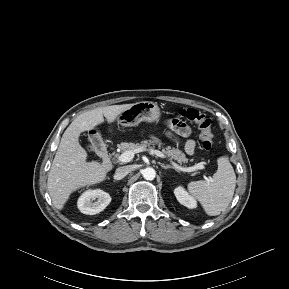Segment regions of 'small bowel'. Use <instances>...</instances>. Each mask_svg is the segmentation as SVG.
I'll use <instances>...</instances> for the list:
<instances>
[{
    "label": "small bowel",
    "mask_w": 289,
    "mask_h": 289,
    "mask_svg": "<svg viewBox=\"0 0 289 289\" xmlns=\"http://www.w3.org/2000/svg\"><path fill=\"white\" fill-rule=\"evenodd\" d=\"M169 127L176 135L181 137H187L190 133L189 128L179 120H172L169 123ZM185 150L187 154L192 155L195 150V142L193 140H187Z\"/></svg>",
    "instance_id": "c3829d8e"
}]
</instances>
